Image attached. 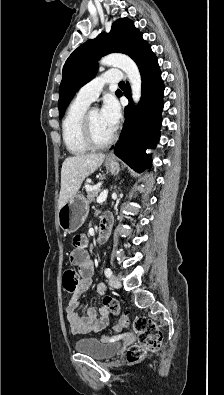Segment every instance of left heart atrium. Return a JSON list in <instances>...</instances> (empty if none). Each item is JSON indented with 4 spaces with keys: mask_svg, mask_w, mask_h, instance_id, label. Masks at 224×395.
I'll return each mask as SVG.
<instances>
[{
    "mask_svg": "<svg viewBox=\"0 0 224 395\" xmlns=\"http://www.w3.org/2000/svg\"><path fill=\"white\" fill-rule=\"evenodd\" d=\"M100 115L109 128L115 131L121 118V110L119 103L114 97L107 96L104 99Z\"/></svg>",
    "mask_w": 224,
    "mask_h": 395,
    "instance_id": "1",
    "label": "left heart atrium"
}]
</instances>
